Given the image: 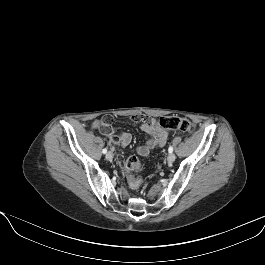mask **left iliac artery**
Returning <instances> with one entry per match:
<instances>
[{
  "label": "left iliac artery",
  "instance_id": "44dca946",
  "mask_svg": "<svg viewBox=\"0 0 265 265\" xmlns=\"http://www.w3.org/2000/svg\"><path fill=\"white\" fill-rule=\"evenodd\" d=\"M168 151H169V153H172L173 152V147L172 146H169Z\"/></svg>",
  "mask_w": 265,
  "mask_h": 265
}]
</instances>
